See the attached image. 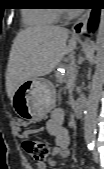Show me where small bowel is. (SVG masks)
<instances>
[{
    "label": "small bowel",
    "instance_id": "small-bowel-1",
    "mask_svg": "<svg viewBox=\"0 0 104 169\" xmlns=\"http://www.w3.org/2000/svg\"><path fill=\"white\" fill-rule=\"evenodd\" d=\"M64 111L62 109H55L51 113V117L47 123L48 132L53 136L55 145L51 151L49 164L55 166V158H67L70 154L69 151V134L64 126ZM84 163V161H83ZM46 162L37 163V169H46Z\"/></svg>",
    "mask_w": 104,
    "mask_h": 169
}]
</instances>
